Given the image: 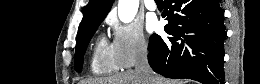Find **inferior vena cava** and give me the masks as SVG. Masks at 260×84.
Returning a JSON list of instances; mask_svg holds the SVG:
<instances>
[{"label":"inferior vena cava","instance_id":"inferior-vena-cava-1","mask_svg":"<svg viewBox=\"0 0 260 84\" xmlns=\"http://www.w3.org/2000/svg\"><path fill=\"white\" fill-rule=\"evenodd\" d=\"M148 51L146 48L142 49L138 55L135 71L142 74L146 81V84H154L155 80L153 77L152 69L148 63L147 58Z\"/></svg>","mask_w":260,"mask_h":84}]
</instances>
